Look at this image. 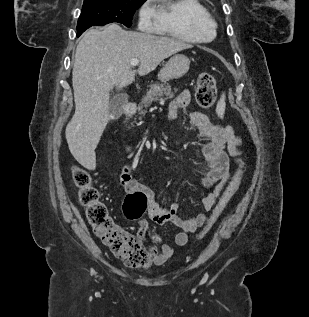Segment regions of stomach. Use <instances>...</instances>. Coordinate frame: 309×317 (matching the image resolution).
I'll list each match as a JSON object with an SVG mask.
<instances>
[{
  "label": "stomach",
  "mask_w": 309,
  "mask_h": 317,
  "mask_svg": "<svg viewBox=\"0 0 309 317\" xmlns=\"http://www.w3.org/2000/svg\"><path fill=\"white\" fill-rule=\"evenodd\" d=\"M190 67V59L183 54H175L158 74L159 80L165 82L184 76Z\"/></svg>",
  "instance_id": "1"
}]
</instances>
